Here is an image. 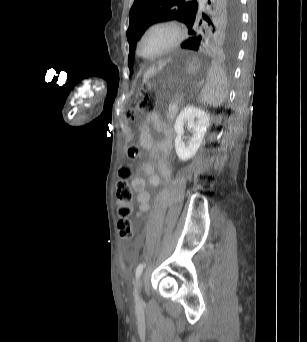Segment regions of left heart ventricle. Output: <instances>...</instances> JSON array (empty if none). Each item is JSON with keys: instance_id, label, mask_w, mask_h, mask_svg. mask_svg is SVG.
Listing matches in <instances>:
<instances>
[{"instance_id": "b2bd125f", "label": "left heart ventricle", "mask_w": 307, "mask_h": 342, "mask_svg": "<svg viewBox=\"0 0 307 342\" xmlns=\"http://www.w3.org/2000/svg\"><path fill=\"white\" fill-rule=\"evenodd\" d=\"M174 38L171 27L156 25L150 28L144 35L141 43L142 54L152 57L166 48Z\"/></svg>"}]
</instances>
